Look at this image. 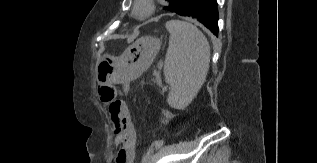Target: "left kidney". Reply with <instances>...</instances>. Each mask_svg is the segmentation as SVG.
I'll use <instances>...</instances> for the list:
<instances>
[{
	"label": "left kidney",
	"instance_id": "5707ae66",
	"mask_svg": "<svg viewBox=\"0 0 317 163\" xmlns=\"http://www.w3.org/2000/svg\"><path fill=\"white\" fill-rule=\"evenodd\" d=\"M162 113L166 118L165 121L164 120L162 121L163 123L167 124L169 122V120L174 117V115L171 112H169L168 110H163Z\"/></svg>",
	"mask_w": 317,
	"mask_h": 163
}]
</instances>
